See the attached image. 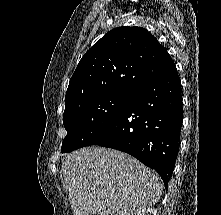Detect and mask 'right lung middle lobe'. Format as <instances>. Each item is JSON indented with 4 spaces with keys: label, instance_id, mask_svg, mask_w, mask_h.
<instances>
[{
    "label": "right lung middle lobe",
    "instance_id": "right-lung-middle-lobe-1",
    "mask_svg": "<svg viewBox=\"0 0 221 215\" xmlns=\"http://www.w3.org/2000/svg\"><path fill=\"white\" fill-rule=\"evenodd\" d=\"M129 98L125 94H106L65 107L63 122L67 135L61 152L91 145L117 120Z\"/></svg>",
    "mask_w": 221,
    "mask_h": 215
}]
</instances>
